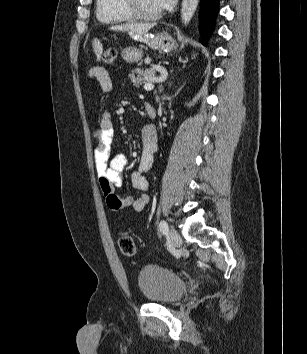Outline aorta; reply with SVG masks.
Masks as SVG:
<instances>
[{"mask_svg":"<svg viewBox=\"0 0 307 354\" xmlns=\"http://www.w3.org/2000/svg\"><path fill=\"white\" fill-rule=\"evenodd\" d=\"M199 0H183L182 5H181V20L182 23L187 26L189 22L191 21L197 6H198Z\"/></svg>","mask_w":307,"mask_h":354,"instance_id":"aorta-1","label":"aorta"}]
</instances>
